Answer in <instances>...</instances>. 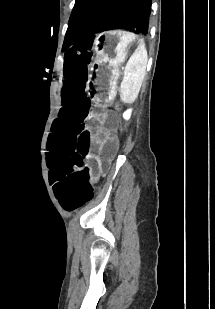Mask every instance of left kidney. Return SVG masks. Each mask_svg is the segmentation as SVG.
<instances>
[{
  "label": "left kidney",
  "mask_w": 215,
  "mask_h": 309,
  "mask_svg": "<svg viewBox=\"0 0 215 309\" xmlns=\"http://www.w3.org/2000/svg\"><path fill=\"white\" fill-rule=\"evenodd\" d=\"M131 112H132V108H127V110L123 112V118H126V120H128V118H130L131 116Z\"/></svg>",
  "instance_id": "5707ae66"
}]
</instances>
